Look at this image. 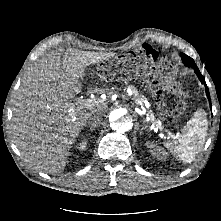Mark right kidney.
<instances>
[{
  "instance_id": "obj_1",
  "label": "right kidney",
  "mask_w": 221,
  "mask_h": 221,
  "mask_svg": "<svg viewBox=\"0 0 221 221\" xmlns=\"http://www.w3.org/2000/svg\"><path fill=\"white\" fill-rule=\"evenodd\" d=\"M86 145H87V141L86 140H83L81 143H79V145H78V149L79 150H84L85 149V147H86Z\"/></svg>"
}]
</instances>
